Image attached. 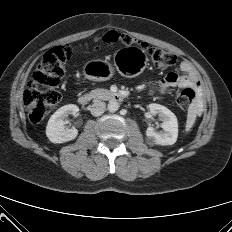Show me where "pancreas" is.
I'll list each match as a JSON object with an SVG mask.
<instances>
[{
  "mask_svg": "<svg viewBox=\"0 0 232 232\" xmlns=\"http://www.w3.org/2000/svg\"><path fill=\"white\" fill-rule=\"evenodd\" d=\"M112 93L107 89H95L89 93V96L93 99H102L105 100L110 97Z\"/></svg>",
  "mask_w": 232,
  "mask_h": 232,
  "instance_id": "1",
  "label": "pancreas"
}]
</instances>
